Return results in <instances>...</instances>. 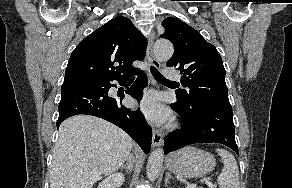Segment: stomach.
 <instances>
[{
	"mask_svg": "<svg viewBox=\"0 0 292 188\" xmlns=\"http://www.w3.org/2000/svg\"><path fill=\"white\" fill-rule=\"evenodd\" d=\"M216 165L214 156L194 147H186L170 154L167 168L184 178L201 177L211 172Z\"/></svg>",
	"mask_w": 292,
	"mask_h": 188,
	"instance_id": "stomach-1",
	"label": "stomach"
}]
</instances>
